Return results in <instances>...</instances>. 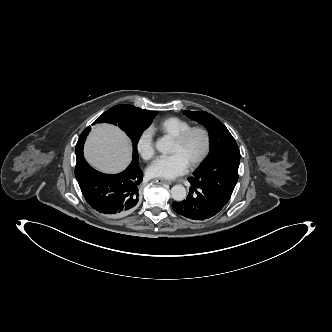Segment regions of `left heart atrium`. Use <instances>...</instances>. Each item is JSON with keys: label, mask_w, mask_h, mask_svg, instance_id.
Segmentation results:
<instances>
[{"label": "left heart atrium", "mask_w": 332, "mask_h": 332, "mask_svg": "<svg viewBox=\"0 0 332 332\" xmlns=\"http://www.w3.org/2000/svg\"><path fill=\"white\" fill-rule=\"evenodd\" d=\"M189 164L178 153L170 156L157 158L147 169V174L151 178L173 179L184 174L188 170Z\"/></svg>", "instance_id": "1"}]
</instances>
